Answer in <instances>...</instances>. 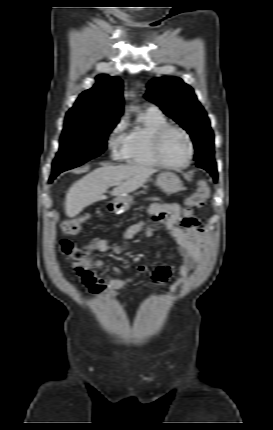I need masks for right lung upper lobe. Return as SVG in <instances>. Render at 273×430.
Wrapping results in <instances>:
<instances>
[{"label":"right lung upper lobe","mask_w":273,"mask_h":430,"mask_svg":"<svg viewBox=\"0 0 273 430\" xmlns=\"http://www.w3.org/2000/svg\"><path fill=\"white\" fill-rule=\"evenodd\" d=\"M123 83L117 77L99 75L96 84L80 94L67 114L93 119H114L123 113Z\"/></svg>","instance_id":"right-lung-upper-lobe-1"}]
</instances>
